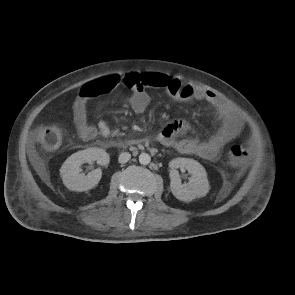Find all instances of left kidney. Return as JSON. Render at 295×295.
<instances>
[{
    "mask_svg": "<svg viewBox=\"0 0 295 295\" xmlns=\"http://www.w3.org/2000/svg\"><path fill=\"white\" fill-rule=\"evenodd\" d=\"M170 189L173 195L181 201L190 202L207 195L210 186L204 167L194 159L176 158L170 161ZM186 169L191 177L186 184L181 183L177 169Z\"/></svg>",
    "mask_w": 295,
    "mask_h": 295,
    "instance_id": "5707ae66",
    "label": "left kidney"
}]
</instances>
